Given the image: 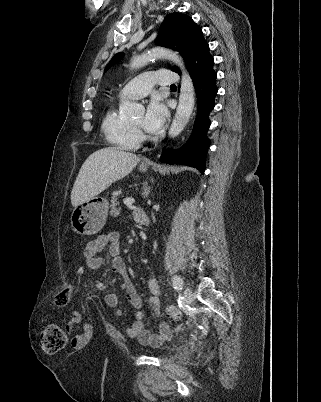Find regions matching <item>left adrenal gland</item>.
<instances>
[{
  "instance_id": "obj_1",
  "label": "left adrenal gland",
  "mask_w": 321,
  "mask_h": 402,
  "mask_svg": "<svg viewBox=\"0 0 321 402\" xmlns=\"http://www.w3.org/2000/svg\"><path fill=\"white\" fill-rule=\"evenodd\" d=\"M152 182H153V180H152ZM149 193H150V187L148 186V183L145 182L144 185H143V193H142V195L144 196V198L145 197L147 198Z\"/></svg>"
}]
</instances>
